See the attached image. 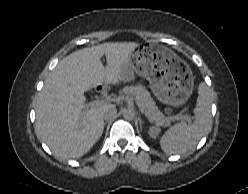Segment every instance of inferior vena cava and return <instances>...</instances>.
<instances>
[{
	"label": "inferior vena cava",
	"instance_id": "602c4592",
	"mask_svg": "<svg viewBox=\"0 0 248 194\" xmlns=\"http://www.w3.org/2000/svg\"><path fill=\"white\" fill-rule=\"evenodd\" d=\"M116 112H117L116 107L114 105H110L104 110V119L105 120L112 119L115 116Z\"/></svg>",
	"mask_w": 248,
	"mask_h": 194
}]
</instances>
